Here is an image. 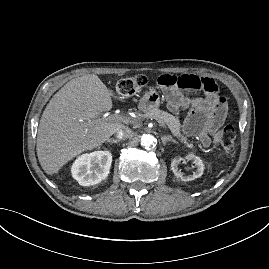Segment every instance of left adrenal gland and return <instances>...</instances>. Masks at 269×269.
<instances>
[{
    "instance_id": "obj_1",
    "label": "left adrenal gland",
    "mask_w": 269,
    "mask_h": 269,
    "mask_svg": "<svg viewBox=\"0 0 269 269\" xmlns=\"http://www.w3.org/2000/svg\"><path fill=\"white\" fill-rule=\"evenodd\" d=\"M161 140H162L163 145H166V143L169 141H172L173 143L178 144V142L175 139H173L172 136L170 135L161 136Z\"/></svg>"
}]
</instances>
